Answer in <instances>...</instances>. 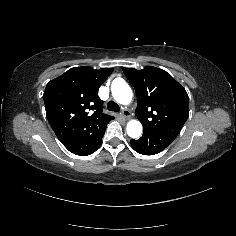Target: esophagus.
<instances>
[{"label":"esophagus","instance_id":"1","mask_svg":"<svg viewBox=\"0 0 236 236\" xmlns=\"http://www.w3.org/2000/svg\"><path fill=\"white\" fill-rule=\"evenodd\" d=\"M129 115H130V112L126 109H123L122 110V116L125 118V119H128L129 118Z\"/></svg>","mask_w":236,"mask_h":236}]
</instances>
